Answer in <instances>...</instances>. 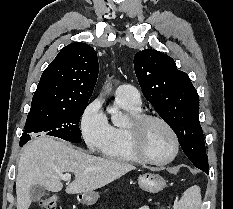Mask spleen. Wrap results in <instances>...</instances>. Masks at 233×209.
Segmentation results:
<instances>
[{
    "mask_svg": "<svg viewBox=\"0 0 233 209\" xmlns=\"http://www.w3.org/2000/svg\"><path fill=\"white\" fill-rule=\"evenodd\" d=\"M200 206L201 190L199 186L188 188L177 203V209H200Z\"/></svg>",
    "mask_w": 233,
    "mask_h": 209,
    "instance_id": "spleen-1",
    "label": "spleen"
}]
</instances>
